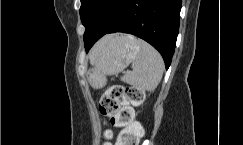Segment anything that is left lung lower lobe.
<instances>
[{
  "label": "left lung lower lobe",
  "mask_w": 243,
  "mask_h": 145,
  "mask_svg": "<svg viewBox=\"0 0 243 145\" xmlns=\"http://www.w3.org/2000/svg\"><path fill=\"white\" fill-rule=\"evenodd\" d=\"M181 2V0H125L112 22L104 25L96 20L85 26L86 51L88 52L106 33H130L154 46L162 55L168 69L179 31Z\"/></svg>",
  "instance_id": "obj_1"
}]
</instances>
